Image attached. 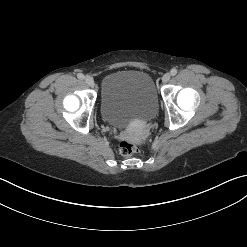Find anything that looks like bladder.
<instances>
[{
  "mask_svg": "<svg viewBox=\"0 0 247 247\" xmlns=\"http://www.w3.org/2000/svg\"><path fill=\"white\" fill-rule=\"evenodd\" d=\"M101 115L117 129L137 121H151L158 111V93L152 78L136 70L118 71L101 82Z\"/></svg>",
  "mask_w": 247,
  "mask_h": 247,
  "instance_id": "obj_1",
  "label": "bladder"
}]
</instances>
